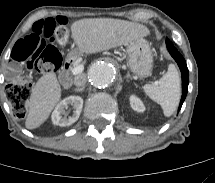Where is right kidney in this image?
Returning <instances> with one entry per match:
<instances>
[{"mask_svg": "<svg viewBox=\"0 0 215 183\" xmlns=\"http://www.w3.org/2000/svg\"><path fill=\"white\" fill-rule=\"evenodd\" d=\"M72 106L73 114L67 117V112L65 111L69 106ZM83 107V99L80 96H69L62 101H60L55 110L52 113V122L55 125L62 127L70 126L75 123L81 113Z\"/></svg>", "mask_w": 215, "mask_h": 183, "instance_id": "1", "label": "right kidney"}]
</instances>
